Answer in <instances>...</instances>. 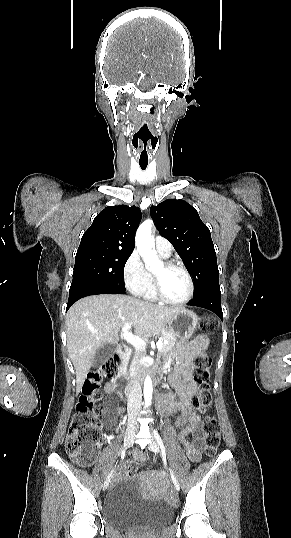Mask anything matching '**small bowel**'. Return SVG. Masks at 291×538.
Instances as JSON below:
<instances>
[{"label":"small bowel","mask_w":291,"mask_h":538,"mask_svg":"<svg viewBox=\"0 0 291 538\" xmlns=\"http://www.w3.org/2000/svg\"><path fill=\"white\" fill-rule=\"evenodd\" d=\"M201 340L189 346L177 359L174 365L170 382L178 392L179 400H176L172 392L160 394L158 396V406L163 415H171L180 412L176 419V425L181 428L178 435L182 442L186 455L191 462H198L204 448V424L200 416L190 406L197 386L191 379L193 364L192 358L197 352ZM116 389V382H109L105 390L107 399L105 401L106 414L104 425L112 428L115 425V416L121 414L124 408L116 402L113 394ZM191 436V438H188ZM135 457H139V450L136 449Z\"/></svg>","instance_id":"1"}]
</instances>
